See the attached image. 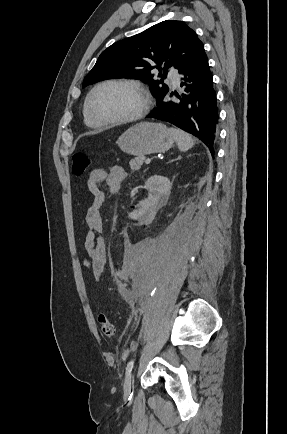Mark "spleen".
Instances as JSON below:
<instances>
[{"label": "spleen", "instance_id": "spleen-1", "mask_svg": "<svg viewBox=\"0 0 287 434\" xmlns=\"http://www.w3.org/2000/svg\"><path fill=\"white\" fill-rule=\"evenodd\" d=\"M169 132L176 141L180 151H187L194 146V140L188 133L176 128H170Z\"/></svg>", "mask_w": 287, "mask_h": 434}]
</instances>
